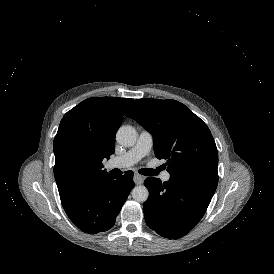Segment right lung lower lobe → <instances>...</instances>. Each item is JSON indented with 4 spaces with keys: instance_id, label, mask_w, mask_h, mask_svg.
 Returning <instances> with one entry per match:
<instances>
[{
    "instance_id": "1",
    "label": "right lung lower lobe",
    "mask_w": 274,
    "mask_h": 274,
    "mask_svg": "<svg viewBox=\"0 0 274 274\" xmlns=\"http://www.w3.org/2000/svg\"><path fill=\"white\" fill-rule=\"evenodd\" d=\"M134 186L132 171L123 176L105 175L62 205L82 231L90 234L107 231L114 225Z\"/></svg>"
}]
</instances>
